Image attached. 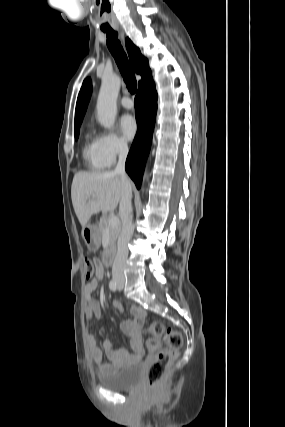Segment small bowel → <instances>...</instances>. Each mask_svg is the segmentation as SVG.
<instances>
[{
  "instance_id": "c3829d8e",
  "label": "small bowel",
  "mask_w": 285,
  "mask_h": 427,
  "mask_svg": "<svg viewBox=\"0 0 285 427\" xmlns=\"http://www.w3.org/2000/svg\"><path fill=\"white\" fill-rule=\"evenodd\" d=\"M94 262L96 265L95 277L84 288L87 300L86 319L88 321L93 317L98 320L102 317L100 303L92 296V293L97 289L99 281L104 278V266L98 259H95ZM112 307L118 312L123 311V305L119 301H113ZM130 312L133 318L122 322L121 330L130 339L131 352L117 348L111 340H105L103 348L110 360L109 363H105L102 350L97 345L94 336L90 332L88 334V348L91 359L101 372H113L124 365L140 360L143 356L141 326L146 317V311L139 306H132Z\"/></svg>"
}]
</instances>
